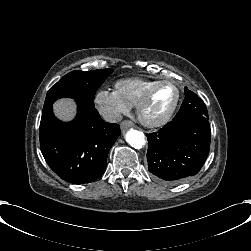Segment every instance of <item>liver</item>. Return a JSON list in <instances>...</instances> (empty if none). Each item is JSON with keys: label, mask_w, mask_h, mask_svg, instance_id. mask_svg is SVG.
I'll return each instance as SVG.
<instances>
[{"label": "liver", "mask_w": 251, "mask_h": 251, "mask_svg": "<svg viewBox=\"0 0 251 251\" xmlns=\"http://www.w3.org/2000/svg\"><path fill=\"white\" fill-rule=\"evenodd\" d=\"M77 101L72 97L58 98L52 106L54 116L63 123L72 122L77 116Z\"/></svg>", "instance_id": "liver-1"}]
</instances>
